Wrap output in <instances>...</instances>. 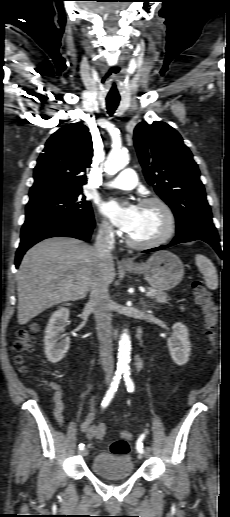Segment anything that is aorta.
<instances>
[{
    "label": "aorta",
    "mask_w": 230,
    "mask_h": 517,
    "mask_svg": "<svg viewBox=\"0 0 230 517\" xmlns=\"http://www.w3.org/2000/svg\"><path fill=\"white\" fill-rule=\"evenodd\" d=\"M129 162V154L124 150H112L106 160L105 171L108 175H114L123 169ZM131 355V340L128 332L125 330L119 341L118 349V370H127L129 368Z\"/></svg>",
    "instance_id": "1"
}]
</instances>
